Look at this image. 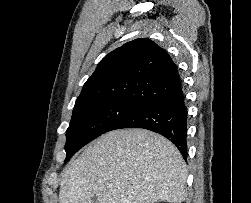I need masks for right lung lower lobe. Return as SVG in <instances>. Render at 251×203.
<instances>
[{"label":"right lung lower lobe","instance_id":"1","mask_svg":"<svg viewBox=\"0 0 251 203\" xmlns=\"http://www.w3.org/2000/svg\"><path fill=\"white\" fill-rule=\"evenodd\" d=\"M188 111L182 87L169 95L141 107L119 122L115 129L143 128L169 139L187 159Z\"/></svg>","mask_w":251,"mask_h":203}]
</instances>
